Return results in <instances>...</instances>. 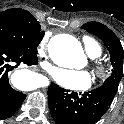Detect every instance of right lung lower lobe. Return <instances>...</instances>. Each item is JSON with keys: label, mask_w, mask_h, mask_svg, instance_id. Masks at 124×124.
<instances>
[{"label": "right lung lower lobe", "mask_w": 124, "mask_h": 124, "mask_svg": "<svg viewBox=\"0 0 124 124\" xmlns=\"http://www.w3.org/2000/svg\"><path fill=\"white\" fill-rule=\"evenodd\" d=\"M36 53L0 44V120L11 117L26 98L10 86L8 75L20 64L36 65Z\"/></svg>", "instance_id": "right-lung-lower-lobe-1"}]
</instances>
